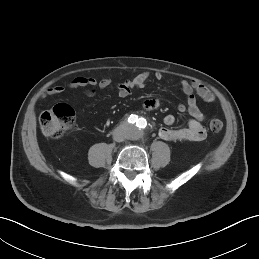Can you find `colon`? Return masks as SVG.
I'll use <instances>...</instances> for the list:
<instances>
[{
  "label": "colon",
  "mask_w": 259,
  "mask_h": 259,
  "mask_svg": "<svg viewBox=\"0 0 259 259\" xmlns=\"http://www.w3.org/2000/svg\"><path fill=\"white\" fill-rule=\"evenodd\" d=\"M74 123V109L64 103L55 105L52 109L43 112L39 117L41 132L50 138L63 136L73 127ZM209 129L214 133L220 132L223 129L222 121L212 119L209 123Z\"/></svg>",
  "instance_id": "5ec220e1"
}]
</instances>
